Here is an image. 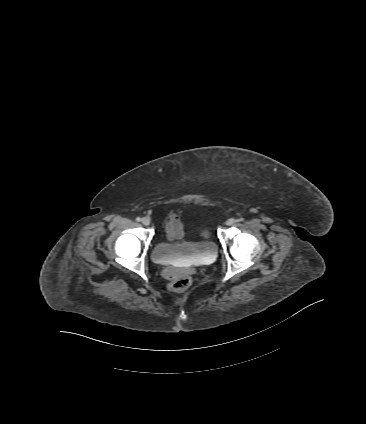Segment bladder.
<instances>
[{
	"label": "bladder",
	"instance_id": "bladder-1",
	"mask_svg": "<svg viewBox=\"0 0 366 424\" xmlns=\"http://www.w3.org/2000/svg\"><path fill=\"white\" fill-rule=\"evenodd\" d=\"M216 255L217 246L209 240L184 241L181 243L158 241L151 251L152 259L159 264H169L182 259L202 262L213 259Z\"/></svg>",
	"mask_w": 366,
	"mask_h": 424
}]
</instances>
